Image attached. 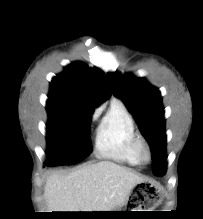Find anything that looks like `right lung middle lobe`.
<instances>
[{
    "mask_svg": "<svg viewBox=\"0 0 203 219\" xmlns=\"http://www.w3.org/2000/svg\"><path fill=\"white\" fill-rule=\"evenodd\" d=\"M47 161L50 167L72 165L91 152L89 123L93 109L83 103L49 96L47 101Z\"/></svg>",
    "mask_w": 203,
    "mask_h": 219,
    "instance_id": "1",
    "label": "right lung middle lobe"
}]
</instances>
